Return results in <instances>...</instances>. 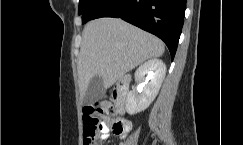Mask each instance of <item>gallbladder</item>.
<instances>
[{
    "label": "gallbladder",
    "instance_id": "bac80fb5",
    "mask_svg": "<svg viewBox=\"0 0 243 145\" xmlns=\"http://www.w3.org/2000/svg\"><path fill=\"white\" fill-rule=\"evenodd\" d=\"M105 94V87L103 79L99 75H95L89 82L88 88L85 92L83 103L90 105L95 100L103 97Z\"/></svg>",
    "mask_w": 243,
    "mask_h": 145
}]
</instances>
